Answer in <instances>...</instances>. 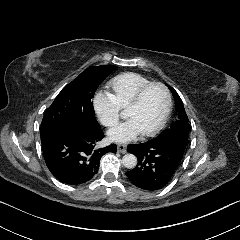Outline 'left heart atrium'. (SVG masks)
<instances>
[{
	"mask_svg": "<svg viewBox=\"0 0 240 240\" xmlns=\"http://www.w3.org/2000/svg\"><path fill=\"white\" fill-rule=\"evenodd\" d=\"M141 133L140 128L133 120H128L109 133V138L113 142L125 143L135 139Z\"/></svg>",
	"mask_w": 240,
	"mask_h": 240,
	"instance_id": "left-heart-atrium-1",
	"label": "left heart atrium"
}]
</instances>
